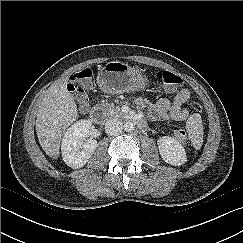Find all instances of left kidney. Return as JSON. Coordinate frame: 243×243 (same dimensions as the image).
Instances as JSON below:
<instances>
[{
    "label": "left kidney",
    "mask_w": 243,
    "mask_h": 243,
    "mask_svg": "<svg viewBox=\"0 0 243 243\" xmlns=\"http://www.w3.org/2000/svg\"><path fill=\"white\" fill-rule=\"evenodd\" d=\"M157 144L160 155L166 163L180 166L187 161L184 147L174 138L169 136L160 137Z\"/></svg>",
    "instance_id": "left-kidney-1"
}]
</instances>
